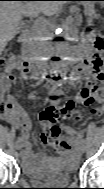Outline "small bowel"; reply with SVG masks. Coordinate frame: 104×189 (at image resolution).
I'll list each match as a JSON object with an SVG mask.
<instances>
[{"label": "small bowel", "instance_id": "obj_1", "mask_svg": "<svg viewBox=\"0 0 104 189\" xmlns=\"http://www.w3.org/2000/svg\"><path fill=\"white\" fill-rule=\"evenodd\" d=\"M14 66H10L6 68V74L3 77V82L8 85L15 81V77L12 74ZM21 72V77L23 80H30L34 77L32 71L27 67L24 63L18 68ZM92 71V67L89 61H83L79 63L72 71L70 76V82L78 81V80H86V84L83 88L77 90L74 101V104L82 105V106H91L92 109L97 106L98 103L102 100V89L101 87L90 78V73ZM64 91L63 88L57 90L58 93H62ZM4 95L6 98L10 100L9 106L3 110L1 116L3 120L9 124L15 125L21 132V155L23 159L24 165L32 169L34 168V164L39 161H43L47 158V155L44 153H34L30 147V126L28 120L26 118L25 113L21 109V107L16 103L14 97L8 92L6 89L4 91ZM68 114V113H67ZM92 115L96 116L92 111ZM63 130L70 136V138L77 143L79 140V134L72 127L66 124H62ZM65 160H69L70 162H74L77 159V151L71 155L65 156Z\"/></svg>", "mask_w": 104, "mask_h": 189}]
</instances>
